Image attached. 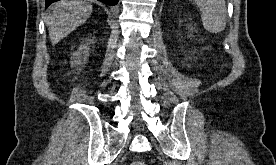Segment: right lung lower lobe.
<instances>
[{
  "label": "right lung lower lobe",
  "mask_w": 276,
  "mask_h": 165,
  "mask_svg": "<svg viewBox=\"0 0 276 165\" xmlns=\"http://www.w3.org/2000/svg\"><path fill=\"white\" fill-rule=\"evenodd\" d=\"M56 1H59V0H46V8L53 2H56ZM103 3H106L108 5H116L118 3L119 0H99Z\"/></svg>",
  "instance_id": "right-lung-lower-lobe-1"
}]
</instances>
